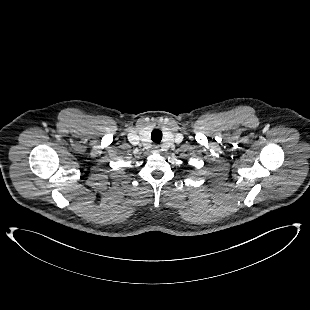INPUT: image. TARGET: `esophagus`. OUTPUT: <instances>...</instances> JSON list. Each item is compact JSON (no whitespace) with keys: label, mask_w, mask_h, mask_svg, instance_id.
<instances>
[{"label":"esophagus","mask_w":310,"mask_h":310,"mask_svg":"<svg viewBox=\"0 0 310 310\" xmlns=\"http://www.w3.org/2000/svg\"><path fill=\"white\" fill-rule=\"evenodd\" d=\"M154 151H155V152H158V151H159V146L155 145V146H154Z\"/></svg>","instance_id":"obj_1"}]
</instances>
